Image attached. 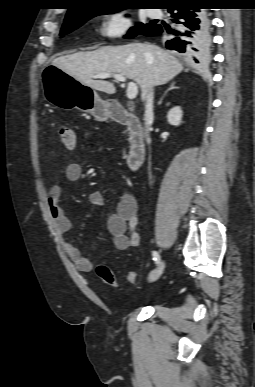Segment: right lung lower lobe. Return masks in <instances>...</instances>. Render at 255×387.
<instances>
[{
    "mask_svg": "<svg viewBox=\"0 0 255 387\" xmlns=\"http://www.w3.org/2000/svg\"><path fill=\"white\" fill-rule=\"evenodd\" d=\"M204 4L196 0H181L168 5L174 28H167L154 24L142 31L146 36L161 35L168 49L185 54L187 57L199 62L208 54L209 20Z\"/></svg>",
    "mask_w": 255,
    "mask_h": 387,
    "instance_id": "obj_1",
    "label": "right lung lower lobe"
}]
</instances>
